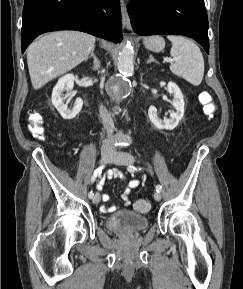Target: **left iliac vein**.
Listing matches in <instances>:
<instances>
[{"mask_svg":"<svg viewBox=\"0 0 243 289\" xmlns=\"http://www.w3.org/2000/svg\"><path fill=\"white\" fill-rule=\"evenodd\" d=\"M111 161L117 165H126L130 166L134 163V157L129 154V153H124V152H114L113 157ZM154 199L156 201L161 200V194L160 192H155L154 193Z\"/></svg>","mask_w":243,"mask_h":289,"instance_id":"obj_1","label":"left iliac vein"}]
</instances>
